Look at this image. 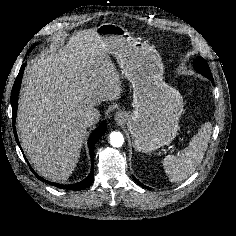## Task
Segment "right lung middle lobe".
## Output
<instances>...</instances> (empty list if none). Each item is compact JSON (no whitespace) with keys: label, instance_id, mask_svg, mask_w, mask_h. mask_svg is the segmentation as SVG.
Returning <instances> with one entry per match:
<instances>
[{"label":"right lung middle lobe","instance_id":"obj_1","mask_svg":"<svg viewBox=\"0 0 236 236\" xmlns=\"http://www.w3.org/2000/svg\"><path fill=\"white\" fill-rule=\"evenodd\" d=\"M36 44H34L30 49H29V52L32 51L33 47L35 46Z\"/></svg>","mask_w":236,"mask_h":236}]
</instances>
